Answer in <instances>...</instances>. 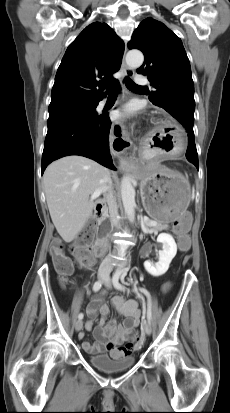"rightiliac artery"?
<instances>
[{"label":"right iliac artery","instance_id":"obj_1","mask_svg":"<svg viewBox=\"0 0 230 413\" xmlns=\"http://www.w3.org/2000/svg\"><path fill=\"white\" fill-rule=\"evenodd\" d=\"M102 284H103V281H101V280L96 281V282L94 283V285H93V291H94V292H97L98 290H100V288L102 287ZM78 318H79V319H82V318H83V314L80 313V314L78 315Z\"/></svg>","mask_w":230,"mask_h":413}]
</instances>
